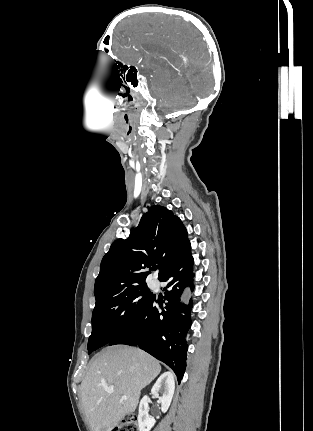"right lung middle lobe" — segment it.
<instances>
[{
	"instance_id": "1",
	"label": "right lung middle lobe",
	"mask_w": 313,
	"mask_h": 431,
	"mask_svg": "<svg viewBox=\"0 0 313 431\" xmlns=\"http://www.w3.org/2000/svg\"><path fill=\"white\" fill-rule=\"evenodd\" d=\"M153 298L148 287L141 285L97 301L92 314L89 354L123 333L137 320Z\"/></svg>"
}]
</instances>
